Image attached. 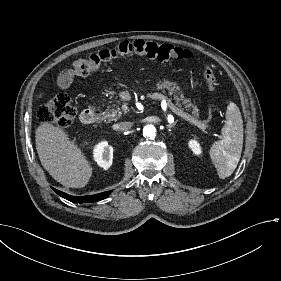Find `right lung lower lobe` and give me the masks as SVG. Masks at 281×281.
Listing matches in <instances>:
<instances>
[{
	"instance_id": "obj_1",
	"label": "right lung lower lobe",
	"mask_w": 281,
	"mask_h": 281,
	"mask_svg": "<svg viewBox=\"0 0 281 281\" xmlns=\"http://www.w3.org/2000/svg\"><path fill=\"white\" fill-rule=\"evenodd\" d=\"M54 191L61 197L73 202V203H87V202H96L106 198L110 192L106 191L100 194L87 195V196H71L64 192L54 189Z\"/></svg>"
}]
</instances>
